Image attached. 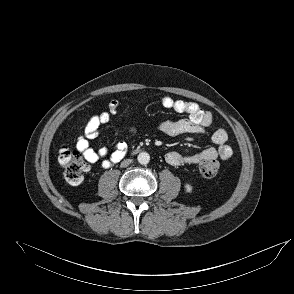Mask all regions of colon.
I'll return each instance as SVG.
<instances>
[{
  "instance_id": "1",
  "label": "colon",
  "mask_w": 294,
  "mask_h": 294,
  "mask_svg": "<svg viewBox=\"0 0 294 294\" xmlns=\"http://www.w3.org/2000/svg\"><path fill=\"white\" fill-rule=\"evenodd\" d=\"M58 162L64 168V178L72 185L80 184L88 165L82 154L68 146H63L58 152ZM219 161L216 158H205L199 163V170L206 178L214 177L219 171Z\"/></svg>"
}]
</instances>
